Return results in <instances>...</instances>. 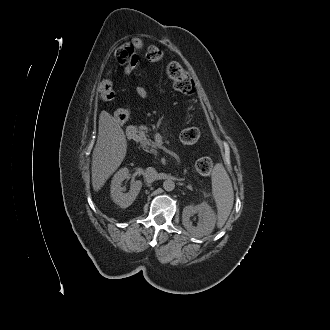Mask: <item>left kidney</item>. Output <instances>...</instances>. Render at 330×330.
<instances>
[{
	"label": "left kidney",
	"mask_w": 330,
	"mask_h": 330,
	"mask_svg": "<svg viewBox=\"0 0 330 330\" xmlns=\"http://www.w3.org/2000/svg\"><path fill=\"white\" fill-rule=\"evenodd\" d=\"M199 214V223L193 226L190 217L194 214ZM216 223V215L213 209L205 202L199 205H188L182 212V224L186 230L194 237L201 238L210 234Z\"/></svg>",
	"instance_id": "left-kidney-1"
}]
</instances>
